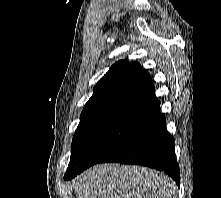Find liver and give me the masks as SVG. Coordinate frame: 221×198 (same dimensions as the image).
<instances>
[{
  "label": "liver",
  "mask_w": 221,
  "mask_h": 198,
  "mask_svg": "<svg viewBox=\"0 0 221 198\" xmlns=\"http://www.w3.org/2000/svg\"><path fill=\"white\" fill-rule=\"evenodd\" d=\"M77 198H177L166 175L142 166L96 164L76 178Z\"/></svg>",
  "instance_id": "liver-1"
}]
</instances>
